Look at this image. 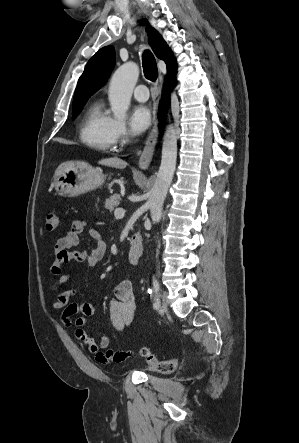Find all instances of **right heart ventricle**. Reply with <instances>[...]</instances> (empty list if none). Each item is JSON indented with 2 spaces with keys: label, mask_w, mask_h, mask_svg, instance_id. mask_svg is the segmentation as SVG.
<instances>
[{
  "label": "right heart ventricle",
  "mask_w": 299,
  "mask_h": 443,
  "mask_svg": "<svg viewBox=\"0 0 299 443\" xmlns=\"http://www.w3.org/2000/svg\"><path fill=\"white\" fill-rule=\"evenodd\" d=\"M113 118L104 111L100 102H94L87 109L80 125L81 142L88 148L100 152L112 150Z\"/></svg>",
  "instance_id": "right-heart-ventricle-1"
}]
</instances>
